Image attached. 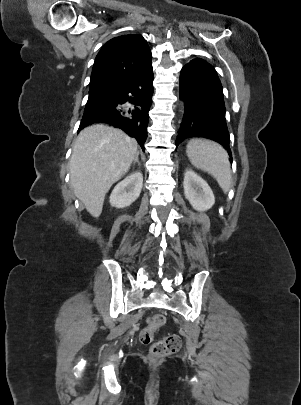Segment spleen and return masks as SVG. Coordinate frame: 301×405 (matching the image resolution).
Wrapping results in <instances>:
<instances>
[{"instance_id":"spleen-1","label":"spleen","mask_w":301,"mask_h":405,"mask_svg":"<svg viewBox=\"0 0 301 405\" xmlns=\"http://www.w3.org/2000/svg\"><path fill=\"white\" fill-rule=\"evenodd\" d=\"M187 156L198 169L211 174L224 192L231 185V169L227 152L217 143L192 139L187 144Z\"/></svg>"}]
</instances>
